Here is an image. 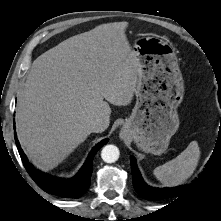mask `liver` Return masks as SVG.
I'll return each instance as SVG.
<instances>
[{
    "mask_svg": "<svg viewBox=\"0 0 221 221\" xmlns=\"http://www.w3.org/2000/svg\"><path fill=\"white\" fill-rule=\"evenodd\" d=\"M127 22L102 24L72 36L36 58L19 93L16 130L28 158L49 170L110 119V104L128 105L136 90L138 59Z\"/></svg>",
    "mask_w": 221,
    "mask_h": 221,
    "instance_id": "1",
    "label": "liver"
}]
</instances>
